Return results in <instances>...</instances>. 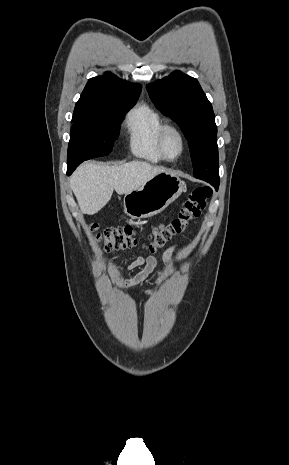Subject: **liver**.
Here are the masks:
<instances>
[{
    "mask_svg": "<svg viewBox=\"0 0 289 465\" xmlns=\"http://www.w3.org/2000/svg\"><path fill=\"white\" fill-rule=\"evenodd\" d=\"M164 169L143 161H132L119 166L85 163L70 178L71 189L80 210L89 215L99 212L111 199L113 191L127 194Z\"/></svg>",
    "mask_w": 289,
    "mask_h": 465,
    "instance_id": "liver-1",
    "label": "liver"
}]
</instances>
